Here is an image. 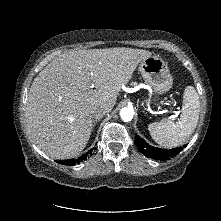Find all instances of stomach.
Segmentation results:
<instances>
[{"label": "stomach", "mask_w": 221, "mask_h": 221, "mask_svg": "<svg viewBox=\"0 0 221 221\" xmlns=\"http://www.w3.org/2000/svg\"><path fill=\"white\" fill-rule=\"evenodd\" d=\"M139 71L156 94H163L172 87L173 79L167 63L158 56H149L144 59L140 64Z\"/></svg>", "instance_id": "1"}]
</instances>
